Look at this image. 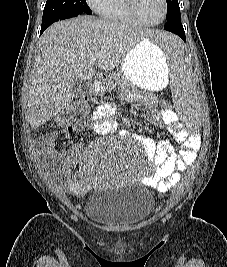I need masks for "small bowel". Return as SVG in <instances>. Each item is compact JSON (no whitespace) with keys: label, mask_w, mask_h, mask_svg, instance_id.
Here are the masks:
<instances>
[{"label":"small bowel","mask_w":227,"mask_h":267,"mask_svg":"<svg viewBox=\"0 0 227 267\" xmlns=\"http://www.w3.org/2000/svg\"><path fill=\"white\" fill-rule=\"evenodd\" d=\"M114 105L106 102L98 105L92 116V130L98 135H107L115 128L112 121ZM150 118L158 125L172 130L176 142L181 146L179 151L168 141L153 142L152 140L138 136L149 161L154 166V171L143 178V182L159 192L174 189L180 179V173L190 165L200 148L201 141L197 134H189L182 130L178 123L177 115L171 109H161L150 112ZM83 124L70 126L67 131H77L83 128ZM43 155L52 154V140L45 139L41 143ZM167 173H174V178H167ZM67 187L82 190L88 182L85 169H79L65 177Z\"/></svg>","instance_id":"1"}]
</instances>
